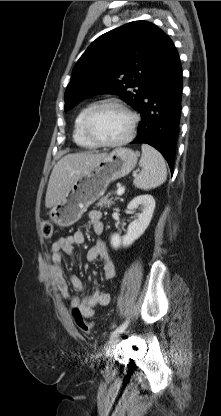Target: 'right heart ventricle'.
Wrapping results in <instances>:
<instances>
[{
  "label": "right heart ventricle",
  "mask_w": 221,
  "mask_h": 416,
  "mask_svg": "<svg viewBox=\"0 0 221 416\" xmlns=\"http://www.w3.org/2000/svg\"><path fill=\"white\" fill-rule=\"evenodd\" d=\"M95 104V102H89L86 105H84L79 110L74 120L73 139L77 145L84 148H94L97 146L87 138L83 130L84 118Z\"/></svg>",
  "instance_id": "1"
}]
</instances>
